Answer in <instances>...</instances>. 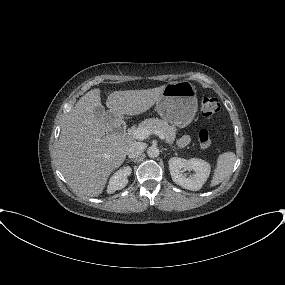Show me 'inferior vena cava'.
<instances>
[{"mask_svg":"<svg viewBox=\"0 0 285 285\" xmlns=\"http://www.w3.org/2000/svg\"><path fill=\"white\" fill-rule=\"evenodd\" d=\"M144 148H145V145L143 143L135 142L129 147L127 155L131 159L137 158L138 156L141 155Z\"/></svg>","mask_w":285,"mask_h":285,"instance_id":"inferior-vena-cava-1","label":"inferior vena cava"}]
</instances>
